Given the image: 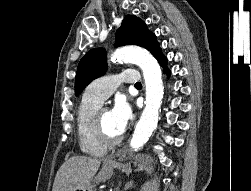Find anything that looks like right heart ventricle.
<instances>
[{"mask_svg": "<svg viewBox=\"0 0 251 191\" xmlns=\"http://www.w3.org/2000/svg\"><path fill=\"white\" fill-rule=\"evenodd\" d=\"M101 101L83 96L75 113V134L79 151L90 157H102L107 146L97 138L94 127V114Z\"/></svg>", "mask_w": 251, "mask_h": 191, "instance_id": "obj_1", "label": "right heart ventricle"}]
</instances>
